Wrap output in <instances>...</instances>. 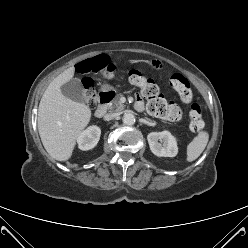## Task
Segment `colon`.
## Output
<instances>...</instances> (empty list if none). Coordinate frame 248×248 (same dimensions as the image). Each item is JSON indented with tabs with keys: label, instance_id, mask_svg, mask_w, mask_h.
<instances>
[{
	"label": "colon",
	"instance_id": "obj_1",
	"mask_svg": "<svg viewBox=\"0 0 248 248\" xmlns=\"http://www.w3.org/2000/svg\"><path fill=\"white\" fill-rule=\"evenodd\" d=\"M104 64V59L100 57L80 63L78 69L82 72H89L91 70L97 71L103 68ZM103 75L105 78L111 79L114 76V71L110 68H106ZM128 81L141 88L143 96L148 101V110L151 114L169 119L177 116L179 112L178 107L174 104H169L166 101V99L160 94L159 87L153 80L146 78L137 71H131L128 74ZM169 85L184 103H190L189 128L194 133L200 132L204 127L202 109L198 103L192 102L193 95L188 79L180 73H173L169 77ZM83 91L91 106H95L99 102L97 95L93 90L90 78H85L83 80Z\"/></svg>",
	"mask_w": 248,
	"mask_h": 248
}]
</instances>
